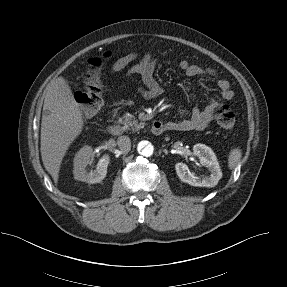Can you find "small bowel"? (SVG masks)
Returning <instances> with one entry per match:
<instances>
[{
    "label": "small bowel",
    "instance_id": "obj_1",
    "mask_svg": "<svg viewBox=\"0 0 287 287\" xmlns=\"http://www.w3.org/2000/svg\"><path fill=\"white\" fill-rule=\"evenodd\" d=\"M158 65V59L151 52L143 55L132 52L119 58L112 66L111 72L116 73L128 68L127 74L130 77L139 76L143 87L139 88V93L145 99H154L162 94V87L154 77V72ZM179 68L188 77L212 76L216 78V85L219 90V97H212L208 103L200 108L195 107L188 118L169 121L164 124L167 130L189 131L206 128L213 120L215 110L225 101L233 98L234 93L229 82L224 78L217 77V73L212 68H202L197 64H191L182 59L178 63Z\"/></svg>",
    "mask_w": 287,
    "mask_h": 287
}]
</instances>
